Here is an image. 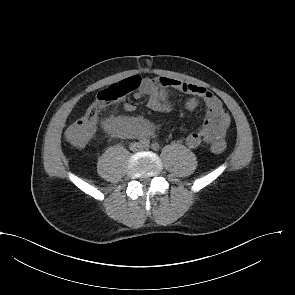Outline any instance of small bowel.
<instances>
[{"label": "small bowel", "instance_id": "obj_1", "mask_svg": "<svg viewBox=\"0 0 295 295\" xmlns=\"http://www.w3.org/2000/svg\"><path fill=\"white\" fill-rule=\"evenodd\" d=\"M170 90L189 95L184 103L186 109L194 110L201 103H204L206 108L203 124L186 137L187 146L196 148L203 143L211 145L216 141H224L231 117L221 100L205 87L168 77L145 78L142 79L141 86L134 94V98L139 99L147 96L149 109L167 112L173 107L169 97ZM123 108L127 112H133L136 107L132 103L126 102ZM105 124L112 134L122 138H134L152 133L151 126L142 117H112L107 119Z\"/></svg>", "mask_w": 295, "mask_h": 295}]
</instances>
